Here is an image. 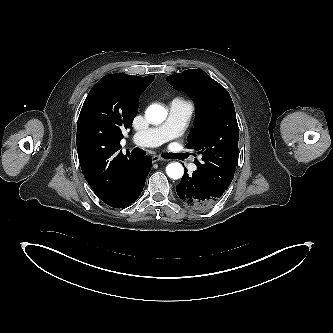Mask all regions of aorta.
Wrapping results in <instances>:
<instances>
[{
  "label": "aorta",
  "instance_id": "762f6f07",
  "mask_svg": "<svg viewBox=\"0 0 333 333\" xmlns=\"http://www.w3.org/2000/svg\"><path fill=\"white\" fill-rule=\"evenodd\" d=\"M146 117L153 124H160L166 119L167 111L161 105L152 104L146 110ZM166 173L172 179H179L183 176L184 169L178 162L170 163L166 167Z\"/></svg>",
  "mask_w": 333,
  "mask_h": 333
}]
</instances>
